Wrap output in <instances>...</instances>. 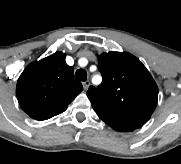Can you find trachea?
I'll return each instance as SVG.
<instances>
[{"label": "trachea", "mask_w": 181, "mask_h": 164, "mask_svg": "<svg viewBox=\"0 0 181 164\" xmlns=\"http://www.w3.org/2000/svg\"><path fill=\"white\" fill-rule=\"evenodd\" d=\"M75 78L81 81H86L87 72L84 69H79L75 73Z\"/></svg>", "instance_id": "obj_1"}]
</instances>
